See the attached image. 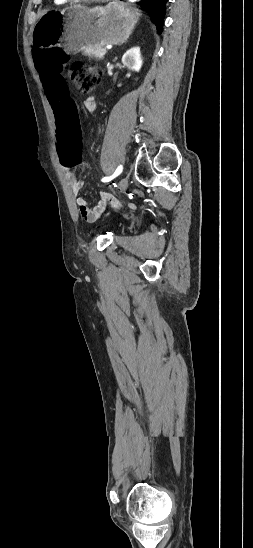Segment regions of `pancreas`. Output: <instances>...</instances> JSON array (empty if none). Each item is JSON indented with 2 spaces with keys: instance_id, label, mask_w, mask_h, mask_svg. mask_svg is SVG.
Returning a JSON list of instances; mask_svg holds the SVG:
<instances>
[{
  "instance_id": "1",
  "label": "pancreas",
  "mask_w": 253,
  "mask_h": 548,
  "mask_svg": "<svg viewBox=\"0 0 253 548\" xmlns=\"http://www.w3.org/2000/svg\"><path fill=\"white\" fill-rule=\"evenodd\" d=\"M106 49L101 46H87L83 48V54L96 59H103Z\"/></svg>"
}]
</instances>
